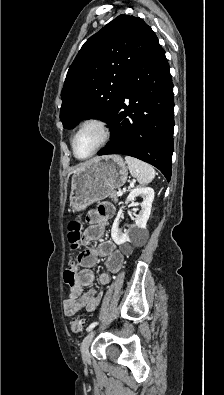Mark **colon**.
I'll use <instances>...</instances> for the list:
<instances>
[{"instance_id":"1","label":"colon","mask_w":224,"mask_h":395,"mask_svg":"<svg viewBox=\"0 0 224 395\" xmlns=\"http://www.w3.org/2000/svg\"><path fill=\"white\" fill-rule=\"evenodd\" d=\"M81 232V224L78 221H72L68 224V241L71 244L72 249H77L79 246ZM77 274V267L72 263L69 267L64 270L63 278L64 282L72 286L75 282ZM85 327V320L82 318L74 317L70 321V330L73 333H82Z\"/></svg>"}]
</instances>
